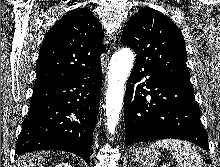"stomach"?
<instances>
[{
    "mask_svg": "<svg viewBox=\"0 0 220 167\" xmlns=\"http://www.w3.org/2000/svg\"><path fill=\"white\" fill-rule=\"evenodd\" d=\"M158 151L149 148H137L132 154V160L143 167H154L158 161Z\"/></svg>",
    "mask_w": 220,
    "mask_h": 167,
    "instance_id": "stomach-1",
    "label": "stomach"
}]
</instances>
